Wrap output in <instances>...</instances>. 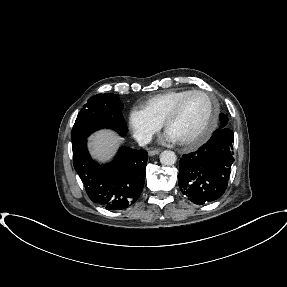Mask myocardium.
<instances>
[{
  "mask_svg": "<svg viewBox=\"0 0 287 287\" xmlns=\"http://www.w3.org/2000/svg\"><path fill=\"white\" fill-rule=\"evenodd\" d=\"M193 95H203L208 99L210 103V114L205 129L199 135H197L194 138L178 142L179 145L187 148H195L199 146L210 136V134L214 130L217 123V113H218V107L215 99L205 91L192 90L175 103V105L171 108V110L166 114L162 122V127L164 130H166L169 123L172 122L178 116L184 103Z\"/></svg>",
  "mask_w": 287,
  "mask_h": 287,
  "instance_id": "1",
  "label": "myocardium"
}]
</instances>
